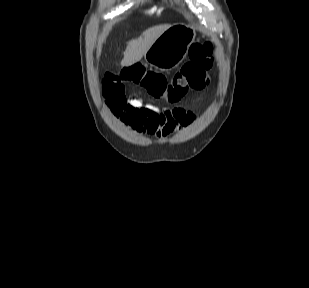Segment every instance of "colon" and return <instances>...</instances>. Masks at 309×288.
I'll return each mask as SVG.
<instances>
[{
    "mask_svg": "<svg viewBox=\"0 0 309 288\" xmlns=\"http://www.w3.org/2000/svg\"><path fill=\"white\" fill-rule=\"evenodd\" d=\"M213 65V45L208 41L197 42L189 49V60L174 74L171 81L161 73L133 63L105 75L103 96L107 105L120 117L132 111L125 95L126 84L145 87L155 98L177 102L190 90H203L211 84L209 71Z\"/></svg>",
    "mask_w": 309,
    "mask_h": 288,
    "instance_id": "colon-1",
    "label": "colon"
}]
</instances>
